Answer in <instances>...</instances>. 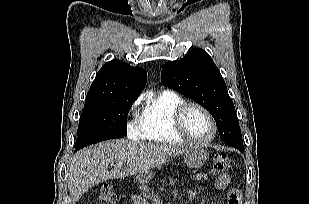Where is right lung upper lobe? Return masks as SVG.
<instances>
[{
    "label": "right lung upper lobe",
    "mask_w": 309,
    "mask_h": 204,
    "mask_svg": "<svg viewBox=\"0 0 309 204\" xmlns=\"http://www.w3.org/2000/svg\"><path fill=\"white\" fill-rule=\"evenodd\" d=\"M147 81V73L119 60L107 62L91 84L85 104L115 98L139 96Z\"/></svg>",
    "instance_id": "cb5924a9"
}]
</instances>
